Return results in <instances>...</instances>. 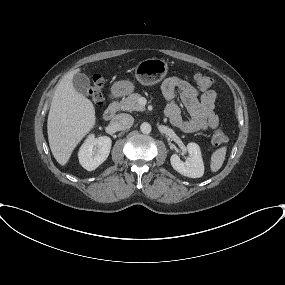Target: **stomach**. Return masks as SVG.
I'll use <instances>...</instances> for the list:
<instances>
[{"label": "stomach", "instance_id": "obj_1", "mask_svg": "<svg viewBox=\"0 0 285 285\" xmlns=\"http://www.w3.org/2000/svg\"><path fill=\"white\" fill-rule=\"evenodd\" d=\"M136 79L145 86L160 82L168 73V63L160 58H148L139 62L135 67ZM135 89L129 80L117 81L111 87L114 96L120 97L130 94Z\"/></svg>", "mask_w": 285, "mask_h": 285}]
</instances>
